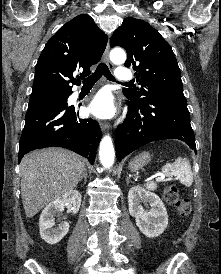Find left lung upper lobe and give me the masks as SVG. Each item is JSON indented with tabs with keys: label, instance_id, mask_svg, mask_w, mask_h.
I'll return each instance as SVG.
<instances>
[{
	"label": "left lung upper lobe",
	"instance_id": "5c2ea615",
	"mask_svg": "<svg viewBox=\"0 0 221 274\" xmlns=\"http://www.w3.org/2000/svg\"><path fill=\"white\" fill-rule=\"evenodd\" d=\"M110 46L127 51L126 67L135 70L140 87L126 88L124 95L137 102L185 100L181 73L170 45L149 23L127 17L113 33Z\"/></svg>",
	"mask_w": 221,
	"mask_h": 274
}]
</instances>
